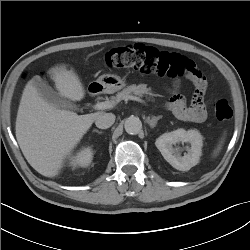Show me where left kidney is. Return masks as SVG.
Wrapping results in <instances>:
<instances>
[{
    "instance_id": "obj_1",
    "label": "left kidney",
    "mask_w": 250,
    "mask_h": 250,
    "mask_svg": "<svg viewBox=\"0 0 250 250\" xmlns=\"http://www.w3.org/2000/svg\"><path fill=\"white\" fill-rule=\"evenodd\" d=\"M180 142L191 144L184 156H181L178 149L173 147ZM155 145L172 167L180 171H188L199 163L203 137L197 130L186 131L180 128L162 134L156 139Z\"/></svg>"
}]
</instances>
